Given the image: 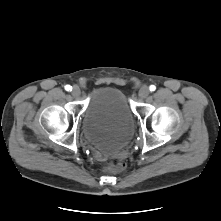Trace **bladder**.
Wrapping results in <instances>:
<instances>
[{
	"label": "bladder",
	"instance_id": "31cf9c89",
	"mask_svg": "<svg viewBox=\"0 0 221 221\" xmlns=\"http://www.w3.org/2000/svg\"><path fill=\"white\" fill-rule=\"evenodd\" d=\"M134 125V114L120 89L98 86L90 93L82 115V131L93 149L109 155L123 149Z\"/></svg>",
	"mask_w": 221,
	"mask_h": 221
}]
</instances>
